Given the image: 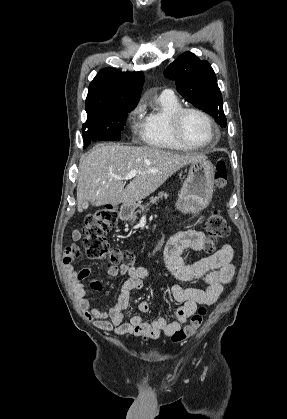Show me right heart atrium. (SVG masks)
I'll use <instances>...</instances> for the list:
<instances>
[{
  "instance_id": "d8ad5b80",
  "label": "right heart atrium",
  "mask_w": 287,
  "mask_h": 419,
  "mask_svg": "<svg viewBox=\"0 0 287 419\" xmlns=\"http://www.w3.org/2000/svg\"><path fill=\"white\" fill-rule=\"evenodd\" d=\"M141 112H142V106L140 105V104H138L132 111H131V113H130V116L132 117V118H135V117H137V116H139L140 114H141ZM139 122H134L133 123V125H132V128L135 130V131H139Z\"/></svg>"
}]
</instances>
